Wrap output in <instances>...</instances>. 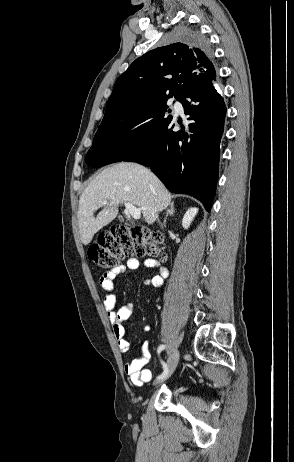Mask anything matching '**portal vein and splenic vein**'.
I'll use <instances>...</instances> for the list:
<instances>
[{
  "label": "portal vein and splenic vein",
  "mask_w": 294,
  "mask_h": 462,
  "mask_svg": "<svg viewBox=\"0 0 294 462\" xmlns=\"http://www.w3.org/2000/svg\"><path fill=\"white\" fill-rule=\"evenodd\" d=\"M107 201H104V204H106ZM126 211L132 216L133 219L138 220L141 217V210L139 208H136L133 204L129 202L124 203Z\"/></svg>",
  "instance_id": "18ae733b"
}]
</instances>
